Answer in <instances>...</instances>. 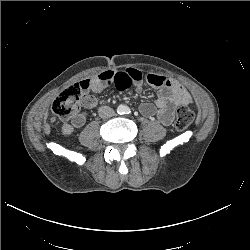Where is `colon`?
Here are the masks:
<instances>
[{
	"label": "colon",
	"instance_id": "colon-1",
	"mask_svg": "<svg viewBox=\"0 0 250 250\" xmlns=\"http://www.w3.org/2000/svg\"><path fill=\"white\" fill-rule=\"evenodd\" d=\"M81 94L82 89L79 84L64 89L52 104L53 114L64 120L73 117L79 110ZM193 119V111L187 106H181L176 111L174 126L177 130L183 131L191 125Z\"/></svg>",
	"mask_w": 250,
	"mask_h": 250
}]
</instances>
